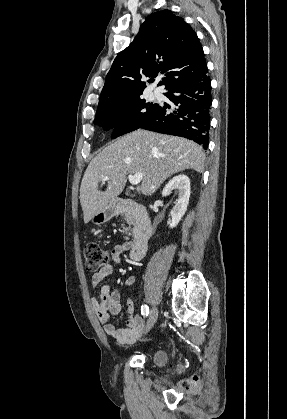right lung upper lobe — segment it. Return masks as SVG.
<instances>
[{
	"instance_id": "obj_1",
	"label": "right lung upper lobe",
	"mask_w": 287,
	"mask_h": 419,
	"mask_svg": "<svg viewBox=\"0 0 287 419\" xmlns=\"http://www.w3.org/2000/svg\"><path fill=\"white\" fill-rule=\"evenodd\" d=\"M207 71L203 49L191 26L169 10L156 12L115 58L98 109L140 97L146 87L144 77L162 74L164 83L160 84L168 89Z\"/></svg>"
}]
</instances>
